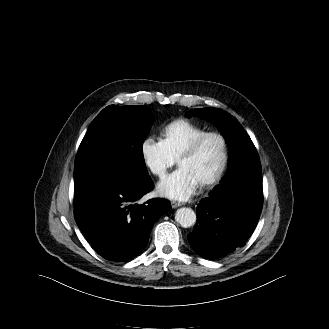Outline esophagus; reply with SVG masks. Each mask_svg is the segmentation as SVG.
<instances>
[{
	"instance_id": "esophagus-1",
	"label": "esophagus",
	"mask_w": 329,
	"mask_h": 329,
	"mask_svg": "<svg viewBox=\"0 0 329 329\" xmlns=\"http://www.w3.org/2000/svg\"><path fill=\"white\" fill-rule=\"evenodd\" d=\"M183 205L182 203L180 202H177V201H171V207L172 208H177L179 206Z\"/></svg>"
}]
</instances>
